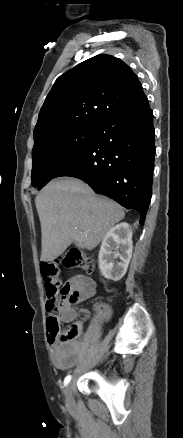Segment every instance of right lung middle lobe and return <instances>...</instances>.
I'll list each match as a JSON object with an SVG mask.
<instances>
[{
	"label": "right lung middle lobe",
	"instance_id": "1",
	"mask_svg": "<svg viewBox=\"0 0 183 438\" xmlns=\"http://www.w3.org/2000/svg\"><path fill=\"white\" fill-rule=\"evenodd\" d=\"M96 126H76L34 140L32 186L41 189L91 142Z\"/></svg>",
	"mask_w": 183,
	"mask_h": 438
}]
</instances>
